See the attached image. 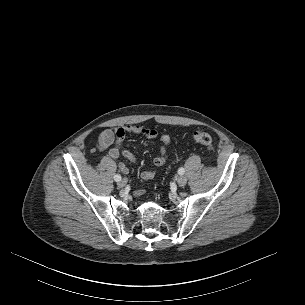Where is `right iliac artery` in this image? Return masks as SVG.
<instances>
[{"mask_svg": "<svg viewBox=\"0 0 305 305\" xmlns=\"http://www.w3.org/2000/svg\"><path fill=\"white\" fill-rule=\"evenodd\" d=\"M114 180H115L116 182L120 181V180H121V176H120L119 174H116V175L114 176Z\"/></svg>", "mask_w": 305, "mask_h": 305, "instance_id": "82829eb1", "label": "right iliac artery"}]
</instances>
